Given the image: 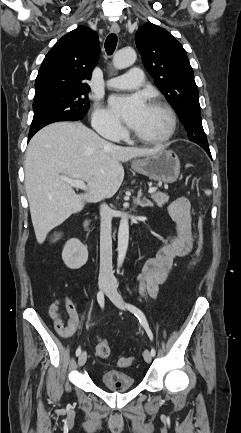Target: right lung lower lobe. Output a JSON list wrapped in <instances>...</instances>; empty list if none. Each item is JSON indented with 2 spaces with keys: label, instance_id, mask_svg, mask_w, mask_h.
Listing matches in <instances>:
<instances>
[{
  "label": "right lung lower lobe",
  "instance_id": "obj_1",
  "mask_svg": "<svg viewBox=\"0 0 241 433\" xmlns=\"http://www.w3.org/2000/svg\"><path fill=\"white\" fill-rule=\"evenodd\" d=\"M35 133H36V132H35ZM35 133H31V134H29L28 141L32 138V136H33Z\"/></svg>",
  "mask_w": 241,
  "mask_h": 433
}]
</instances>
